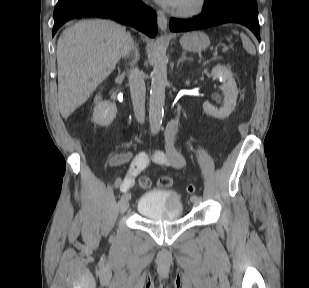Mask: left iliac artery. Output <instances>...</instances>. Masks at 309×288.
I'll return each mask as SVG.
<instances>
[{
    "label": "left iliac artery",
    "instance_id": "1",
    "mask_svg": "<svg viewBox=\"0 0 309 288\" xmlns=\"http://www.w3.org/2000/svg\"><path fill=\"white\" fill-rule=\"evenodd\" d=\"M196 198H199V197H197V196H192V197H191V200H195Z\"/></svg>",
    "mask_w": 309,
    "mask_h": 288
}]
</instances>
